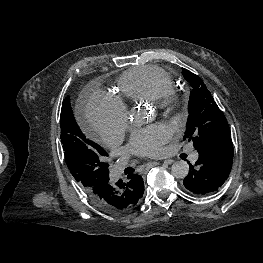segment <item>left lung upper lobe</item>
<instances>
[{"instance_id": "1", "label": "left lung upper lobe", "mask_w": 263, "mask_h": 263, "mask_svg": "<svg viewBox=\"0 0 263 263\" xmlns=\"http://www.w3.org/2000/svg\"><path fill=\"white\" fill-rule=\"evenodd\" d=\"M182 74L192 87L184 140H192L195 149L199 150L220 137H230L227 120L204 82L187 69L183 68Z\"/></svg>"}]
</instances>
